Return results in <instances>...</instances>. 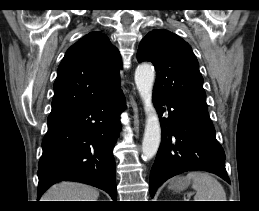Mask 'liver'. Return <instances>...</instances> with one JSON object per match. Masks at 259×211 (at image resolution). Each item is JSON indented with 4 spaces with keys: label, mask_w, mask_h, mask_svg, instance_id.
<instances>
[{
    "label": "liver",
    "mask_w": 259,
    "mask_h": 211,
    "mask_svg": "<svg viewBox=\"0 0 259 211\" xmlns=\"http://www.w3.org/2000/svg\"><path fill=\"white\" fill-rule=\"evenodd\" d=\"M99 192L88 185L75 182H61L52 186L42 201H97Z\"/></svg>",
    "instance_id": "1"
}]
</instances>
